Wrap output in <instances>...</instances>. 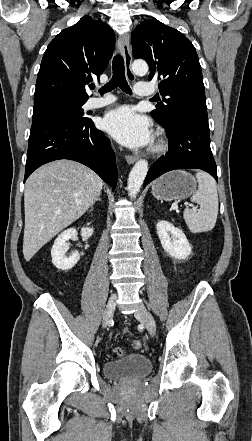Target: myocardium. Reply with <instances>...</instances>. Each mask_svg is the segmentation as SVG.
Wrapping results in <instances>:
<instances>
[{
	"instance_id": "1",
	"label": "myocardium",
	"mask_w": 252,
	"mask_h": 441,
	"mask_svg": "<svg viewBox=\"0 0 252 441\" xmlns=\"http://www.w3.org/2000/svg\"><path fill=\"white\" fill-rule=\"evenodd\" d=\"M164 148H165L164 141L162 139H159L158 142L155 144L153 150L155 152H160V151L164 150Z\"/></svg>"
}]
</instances>
